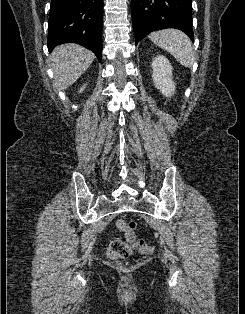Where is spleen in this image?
<instances>
[{"label":"spleen","mask_w":245,"mask_h":314,"mask_svg":"<svg viewBox=\"0 0 245 314\" xmlns=\"http://www.w3.org/2000/svg\"><path fill=\"white\" fill-rule=\"evenodd\" d=\"M149 39L169 52L184 67H192L195 53L188 36L177 29H164L152 32Z\"/></svg>","instance_id":"spleen-1"}]
</instances>
